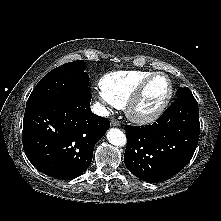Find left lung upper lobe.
Here are the masks:
<instances>
[{
  "label": "left lung upper lobe",
  "instance_id": "1",
  "mask_svg": "<svg viewBox=\"0 0 221 221\" xmlns=\"http://www.w3.org/2000/svg\"><path fill=\"white\" fill-rule=\"evenodd\" d=\"M182 97H194V96L192 95V92L188 87H184V88H179L177 90V98H182Z\"/></svg>",
  "mask_w": 221,
  "mask_h": 221
}]
</instances>
